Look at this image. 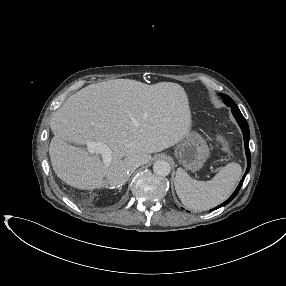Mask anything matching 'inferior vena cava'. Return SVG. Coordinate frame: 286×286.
Masks as SVG:
<instances>
[{"mask_svg": "<svg viewBox=\"0 0 286 286\" xmlns=\"http://www.w3.org/2000/svg\"><path fill=\"white\" fill-rule=\"evenodd\" d=\"M140 165H142V162L140 160H134L131 164L130 171H134L136 168H138Z\"/></svg>", "mask_w": 286, "mask_h": 286, "instance_id": "obj_1", "label": "inferior vena cava"}]
</instances>
